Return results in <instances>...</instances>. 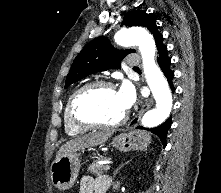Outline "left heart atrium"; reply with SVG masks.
<instances>
[{
	"label": "left heart atrium",
	"mask_w": 221,
	"mask_h": 193,
	"mask_svg": "<svg viewBox=\"0 0 221 193\" xmlns=\"http://www.w3.org/2000/svg\"><path fill=\"white\" fill-rule=\"evenodd\" d=\"M118 99L125 111L129 110L136 100V95L133 87L125 82L117 91Z\"/></svg>",
	"instance_id": "39dd6f15"
}]
</instances>
